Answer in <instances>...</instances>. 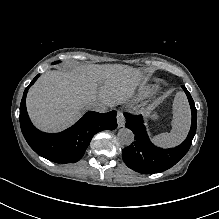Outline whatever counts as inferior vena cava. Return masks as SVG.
Segmentation results:
<instances>
[{
	"label": "inferior vena cava",
	"instance_id": "obj_1",
	"mask_svg": "<svg viewBox=\"0 0 219 219\" xmlns=\"http://www.w3.org/2000/svg\"><path fill=\"white\" fill-rule=\"evenodd\" d=\"M111 107V105L108 102H93L89 105V109L95 112H107L108 108Z\"/></svg>",
	"mask_w": 219,
	"mask_h": 219
}]
</instances>
